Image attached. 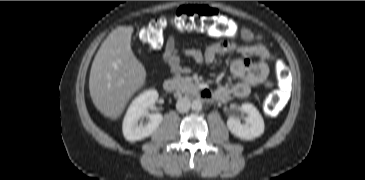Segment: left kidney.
<instances>
[{"mask_svg": "<svg viewBox=\"0 0 365 180\" xmlns=\"http://www.w3.org/2000/svg\"><path fill=\"white\" fill-rule=\"evenodd\" d=\"M240 109L247 114L245 123L242 124L239 118L230 117L227 120V126L231 133L245 140L261 136L264 133V121L256 107L250 103H244Z\"/></svg>", "mask_w": 365, "mask_h": 180, "instance_id": "obj_1", "label": "left kidney"}]
</instances>
